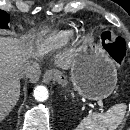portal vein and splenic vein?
<instances>
[{
  "instance_id": "1",
  "label": "portal vein and splenic vein",
  "mask_w": 130,
  "mask_h": 130,
  "mask_svg": "<svg viewBox=\"0 0 130 130\" xmlns=\"http://www.w3.org/2000/svg\"><path fill=\"white\" fill-rule=\"evenodd\" d=\"M97 103L99 106H101V107L103 106V103L101 101H98Z\"/></svg>"
}]
</instances>
